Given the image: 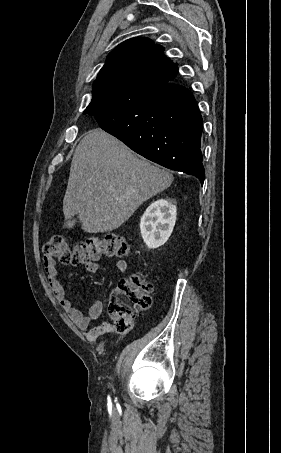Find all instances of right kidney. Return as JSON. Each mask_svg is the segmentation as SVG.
<instances>
[{
    "label": "right kidney",
    "mask_w": 281,
    "mask_h": 453,
    "mask_svg": "<svg viewBox=\"0 0 281 453\" xmlns=\"http://www.w3.org/2000/svg\"><path fill=\"white\" fill-rule=\"evenodd\" d=\"M176 204L158 198L146 208L141 220L140 231L148 249H158L168 241L176 220Z\"/></svg>",
    "instance_id": "ca27d5eb"
}]
</instances>
